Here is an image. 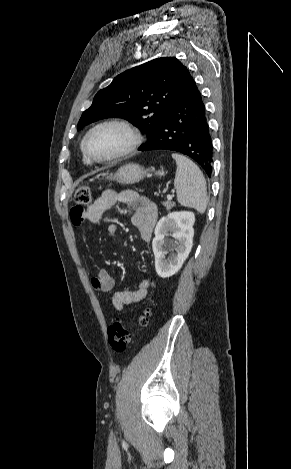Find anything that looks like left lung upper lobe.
Here are the masks:
<instances>
[{
    "label": "left lung upper lobe",
    "instance_id": "1",
    "mask_svg": "<svg viewBox=\"0 0 291 469\" xmlns=\"http://www.w3.org/2000/svg\"><path fill=\"white\" fill-rule=\"evenodd\" d=\"M191 78L175 57L157 58L129 69L95 95L77 129L102 118L119 117L145 131L149 138Z\"/></svg>",
    "mask_w": 291,
    "mask_h": 469
}]
</instances>
